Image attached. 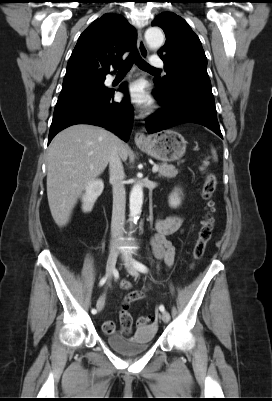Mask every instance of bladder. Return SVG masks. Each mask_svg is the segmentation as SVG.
<instances>
[{
  "label": "bladder",
  "mask_w": 272,
  "mask_h": 401,
  "mask_svg": "<svg viewBox=\"0 0 272 401\" xmlns=\"http://www.w3.org/2000/svg\"><path fill=\"white\" fill-rule=\"evenodd\" d=\"M156 329L151 326L139 328L132 337H125L119 333L107 335L108 345L120 354L135 356L145 353L151 346Z\"/></svg>",
  "instance_id": "bladder-1"
}]
</instances>
